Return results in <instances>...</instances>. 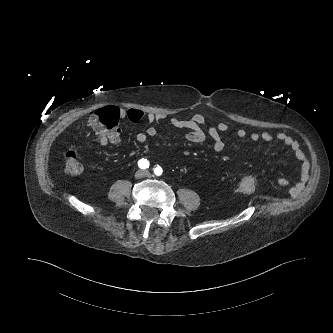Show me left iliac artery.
<instances>
[{"label": "left iliac artery", "instance_id": "left-iliac-artery-1", "mask_svg": "<svg viewBox=\"0 0 333 333\" xmlns=\"http://www.w3.org/2000/svg\"><path fill=\"white\" fill-rule=\"evenodd\" d=\"M153 171H154L155 175H157V176H160L163 172L162 168L158 165L154 168Z\"/></svg>", "mask_w": 333, "mask_h": 333}]
</instances>
